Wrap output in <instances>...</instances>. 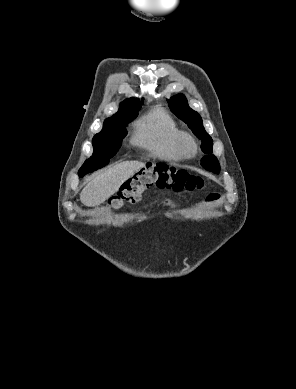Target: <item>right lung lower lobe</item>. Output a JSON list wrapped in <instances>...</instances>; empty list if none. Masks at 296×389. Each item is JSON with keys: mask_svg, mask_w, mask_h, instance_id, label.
I'll return each mask as SVG.
<instances>
[{"mask_svg": "<svg viewBox=\"0 0 296 389\" xmlns=\"http://www.w3.org/2000/svg\"><path fill=\"white\" fill-rule=\"evenodd\" d=\"M98 167H81V169L79 170L78 174L80 177H83L85 174L89 173V172H93L95 170H97Z\"/></svg>", "mask_w": 296, "mask_h": 389, "instance_id": "98d812e1", "label": "right lung lower lobe"}]
</instances>
